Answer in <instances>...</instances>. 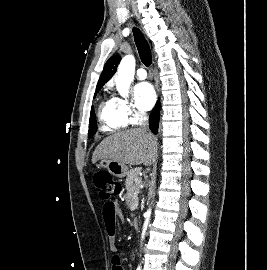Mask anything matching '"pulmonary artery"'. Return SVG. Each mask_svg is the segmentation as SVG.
I'll list each match as a JSON object with an SVG mask.
<instances>
[{
	"instance_id": "e3ab8cb5",
	"label": "pulmonary artery",
	"mask_w": 267,
	"mask_h": 270,
	"mask_svg": "<svg viewBox=\"0 0 267 270\" xmlns=\"http://www.w3.org/2000/svg\"><path fill=\"white\" fill-rule=\"evenodd\" d=\"M136 77H137L139 80H144V79H146V77H147L146 70H145L144 68H139V69H137V71H136Z\"/></svg>"
}]
</instances>
